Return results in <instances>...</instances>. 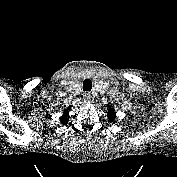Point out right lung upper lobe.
Instances as JSON below:
<instances>
[{
  "label": "right lung upper lobe",
  "instance_id": "1",
  "mask_svg": "<svg viewBox=\"0 0 177 177\" xmlns=\"http://www.w3.org/2000/svg\"><path fill=\"white\" fill-rule=\"evenodd\" d=\"M68 119H69L68 109H66L64 115H62V116L60 117V121H61V123L64 125V124H67V123H68Z\"/></svg>",
  "mask_w": 177,
  "mask_h": 177
}]
</instances>
